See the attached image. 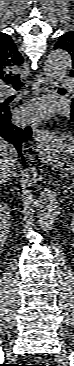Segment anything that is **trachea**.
<instances>
[{
	"mask_svg": "<svg viewBox=\"0 0 74 366\" xmlns=\"http://www.w3.org/2000/svg\"><path fill=\"white\" fill-rule=\"evenodd\" d=\"M4 81L11 83L15 88L22 87L24 85L19 74L15 76H6Z\"/></svg>",
	"mask_w": 74,
	"mask_h": 366,
	"instance_id": "1",
	"label": "trachea"
}]
</instances>
